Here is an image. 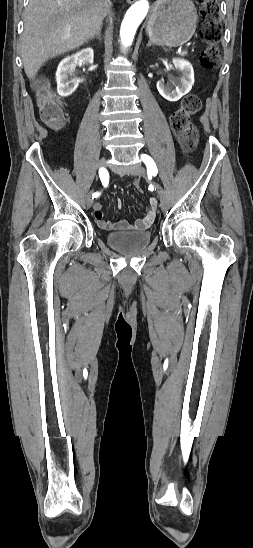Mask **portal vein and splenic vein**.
<instances>
[{"label":"portal vein and splenic vein","mask_w":253,"mask_h":548,"mask_svg":"<svg viewBox=\"0 0 253 548\" xmlns=\"http://www.w3.org/2000/svg\"><path fill=\"white\" fill-rule=\"evenodd\" d=\"M186 53H187V50H183V51H182V54H186Z\"/></svg>","instance_id":"obj_1"}]
</instances>
